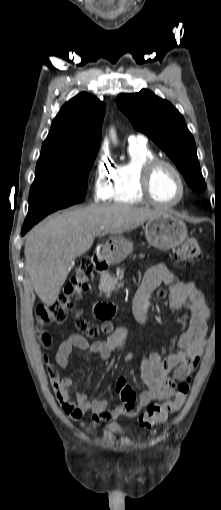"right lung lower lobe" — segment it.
I'll return each mask as SVG.
<instances>
[{"label":"right lung lower lobe","mask_w":221,"mask_h":510,"mask_svg":"<svg viewBox=\"0 0 221 510\" xmlns=\"http://www.w3.org/2000/svg\"><path fill=\"white\" fill-rule=\"evenodd\" d=\"M56 210L45 208L42 206H29L28 215L25 219L24 225L21 230V235H24L28 230H30L36 223H38L42 218L46 215L54 212Z\"/></svg>","instance_id":"obj_1"}]
</instances>
